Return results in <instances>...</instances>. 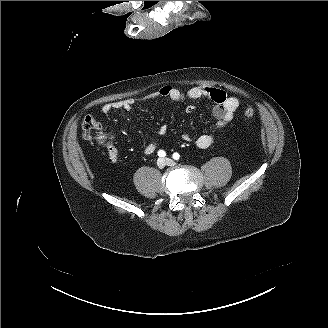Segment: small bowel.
<instances>
[{"label":"small bowel","instance_id":"c3829d8e","mask_svg":"<svg viewBox=\"0 0 328 328\" xmlns=\"http://www.w3.org/2000/svg\"><path fill=\"white\" fill-rule=\"evenodd\" d=\"M160 98H168L176 102H181L184 100H194L205 98L214 103L212 108V116L215 119V125L217 128L225 127L234 118L235 113L240 107V101L237 97L227 96V94L219 89L211 87H201L196 86L188 90H181L177 87L171 85H165L158 90L151 92L144 96L143 98H126L122 100H117L109 103H105L101 110L103 113H109L112 110H131L138 102L142 101H154ZM187 114H192L194 112V107L192 105H187L185 108ZM158 134L161 137H165L168 134V128L163 125L159 127ZM182 139L185 142H190L193 137L188 134H182ZM160 141L156 140L144 147L143 152L146 155H150L158 148ZM196 145L201 149L209 148L213 143V138L209 134H202L195 139ZM107 155L112 163H117L119 159V152L115 145L111 142L107 143Z\"/></svg>","mask_w":328,"mask_h":328}]
</instances>
